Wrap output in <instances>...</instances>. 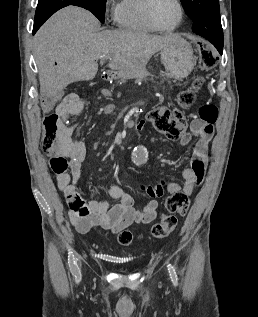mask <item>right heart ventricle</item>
Returning <instances> with one entry per match:
<instances>
[{"label":"right heart ventricle","instance_id":"e07e8e85","mask_svg":"<svg viewBox=\"0 0 258 317\" xmlns=\"http://www.w3.org/2000/svg\"><path fill=\"white\" fill-rule=\"evenodd\" d=\"M148 0H117L115 21L125 31L149 34L155 30L145 20L144 11Z\"/></svg>","mask_w":258,"mask_h":317}]
</instances>
